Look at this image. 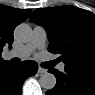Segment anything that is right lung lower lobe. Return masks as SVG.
Instances as JSON below:
<instances>
[{
	"mask_svg": "<svg viewBox=\"0 0 95 95\" xmlns=\"http://www.w3.org/2000/svg\"><path fill=\"white\" fill-rule=\"evenodd\" d=\"M38 65L28 60L21 64H7L0 67V95H21L24 81L36 74Z\"/></svg>",
	"mask_w": 95,
	"mask_h": 95,
	"instance_id": "1",
	"label": "right lung lower lobe"
}]
</instances>
